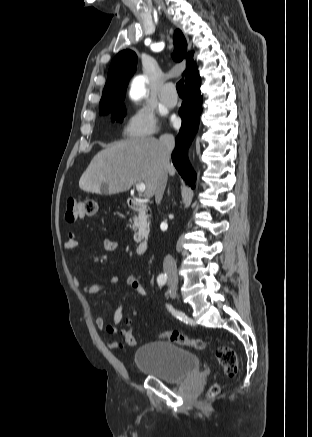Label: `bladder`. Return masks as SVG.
<instances>
[{"label":"bladder","instance_id":"bladder-1","mask_svg":"<svg viewBox=\"0 0 312 437\" xmlns=\"http://www.w3.org/2000/svg\"><path fill=\"white\" fill-rule=\"evenodd\" d=\"M138 370L167 383H179L201 372L198 356L169 341L144 344L134 356Z\"/></svg>","mask_w":312,"mask_h":437}]
</instances>
